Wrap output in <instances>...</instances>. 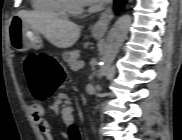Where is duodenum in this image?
I'll list each match as a JSON object with an SVG mask.
<instances>
[{
	"label": "duodenum",
	"mask_w": 182,
	"mask_h": 140,
	"mask_svg": "<svg viewBox=\"0 0 182 140\" xmlns=\"http://www.w3.org/2000/svg\"><path fill=\"white\" fill-rule=\"evenodd\" d=\"M65 117H67L68 119H71L73 117V111L65 110Z\"/></svg>",
	"instance_id": "410a0bca"
}]
</instances>
